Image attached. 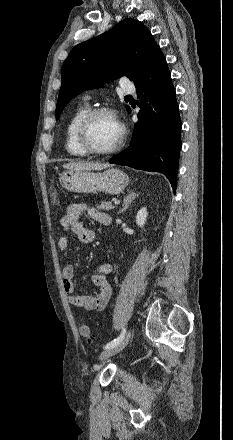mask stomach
I'll list each match as a JSON object with an SVG mask.
<instances>
[{"mask_svg":"<svg viewBox=\"0 0 233 440\" xmlns=\"http://www.w3.org/2000/svg\"><path fill=\"white\" fill-rule=\"evenodd\" d=\"M60 184L69 191L79 193L104 192L116 195L129 183V177L120 169L109 168L103 173L90 170L66 171L60 175Z\"/></svg>","mask_w":233,"mask_h":440,"instance_id":"stomach-1","label":"stomach"}]
</instances>
